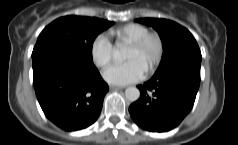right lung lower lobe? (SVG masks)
Here are the masks:
<instances>
[{
    "instance_id": "1",
    "label": "right lung lower lobe",
    "mask_w": 238,
    "mask_h": 145,
    "mask_svg": "<svg viewBox=\"0 0 238 145\" xmlns=\"http://www.w3.org/2000/svg\"><path fill=\"white\" fill-rule=\"evenodd\" d=\"M33 84L45 116L64 131L93 124L108 85L94 66L75 55L50 52L32 58Z\"/></svg>"
}]
</instances>
